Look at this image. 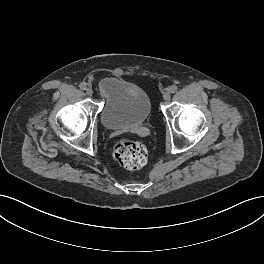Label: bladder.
I'll return each mask as SVG.
<instances>
[{
    "mask_svg": "<svg viewBox=\"0 0 264 264\" xmlns=\"http://www.w3.org/2000/svg\"><path fill=\"white\" fill-rule=\"evenodd\" d=\"M99 90L103 100L101 121L107 129L133 128L149 118L151 99L141 86L109 78L100 83Z\"/></svg>",
    "mask_w": 264,
    "mask_h": 264,
    "instance_id": "31cf9c89",
    "label": "bladder"
}]
</instances>
